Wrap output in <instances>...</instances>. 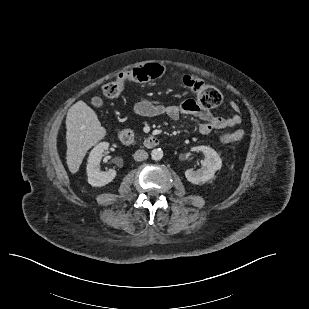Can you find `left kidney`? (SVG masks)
Returning a JSON list of instances; mask_svg holds the SVG:
<instances>
[{"label": "left kidney", "instance_id": "5707ae66", "mask_svg": "<svg viewBox=\"0 0 309 309\" xmlns=\"http://www.w3.org/2000/svg\"><path fill=\"white\" fill-rule=\"evenodd\" d=\"M192 151L202 152L205 159L201 162L202 169L193 171L188 169L185 171L187 180L193 184H203L214 178V174L222 167V160L217 152L209 146H197L191 149Z\"/></svg>", "mask_w": 309, "mask_h": 309}]
</instances>
